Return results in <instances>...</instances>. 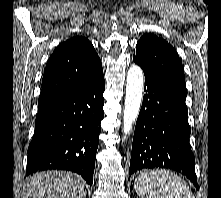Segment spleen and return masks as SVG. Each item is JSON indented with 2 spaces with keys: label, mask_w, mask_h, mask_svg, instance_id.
I'll use <instances>...</instances> for the list:
<instances>
[{
  "label": "spleen",
  "mask_w": 221,
  "mask_h": 198,
  "mask_svg": "<svg viewBox=\"0 0 221 198\" xmlns=\"http://www.w3.org/2000/svg\"><path fill=\"white\" fill-rule=\"evenodd\" d=\"M134 188L141 198H195L189 186L166 169L142 173L136 178Z\"/></svg>",
  "instance_id": "3e777b00"
}]
</instances>
